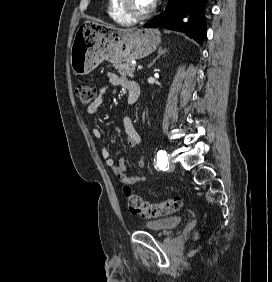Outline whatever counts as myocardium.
<instances>
[{
    "label": "myocardium",
    "instance_id": "myocardium-1",
    "mask_svg": "<svg viewBox=\"0 0 272 282\" xmlns=\"http://www.w3.org/2000/svg\"><path fill=\"white\" fill-rule=\"evenodd\" d=\"M120 1L119 7L121 10L132 20H140L150 16L156 8V2H153V5L150 9L145 12H137L132 5L131 0H118Z\"/></svg>",
    "mask_w": 272,
    "mask_h": 282
}]
</instances>
